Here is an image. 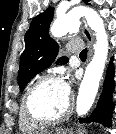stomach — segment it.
<instances>
[{"label": "stomach", "instance_id": "0dacf381", "mask_svg": "<svg viewBox=\"0 0 116 134\" xmlns=\"http://www.w3.org/2000/svg\"><path fill=\"white\" fill-rule=\"evenodd\" d=\"M48 134H52V133H48ZM54 134H68V132H66L65 130H56Z\"/></svg>", "mask_w": 116, "mask_h": 134}]
</instances>
